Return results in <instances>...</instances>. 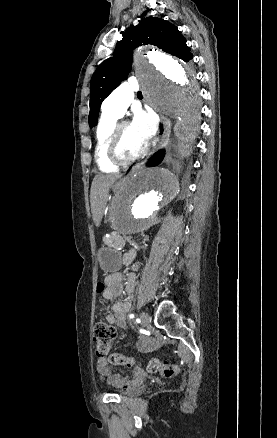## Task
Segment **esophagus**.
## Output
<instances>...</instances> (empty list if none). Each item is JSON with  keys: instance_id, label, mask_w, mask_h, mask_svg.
Masks as SVG:
<instances>
[{"instance_id": "esophagus-1", "label": "esophagus", "mask_w": 277, "mask_h": 438, "mask_svg": "<svg viewBox=\"0 0 277 438\" xmlns=\"http://www.w3.org/2000/svg\"><path fill=\"white\" fill-rule=\"evenodd\" d=\"M170 133H171V122L169 118L161 115L159 128H158V136H159L158 144L161 147L165 148L168 145L170 139Z\"/></svg>"}]
</instances>
